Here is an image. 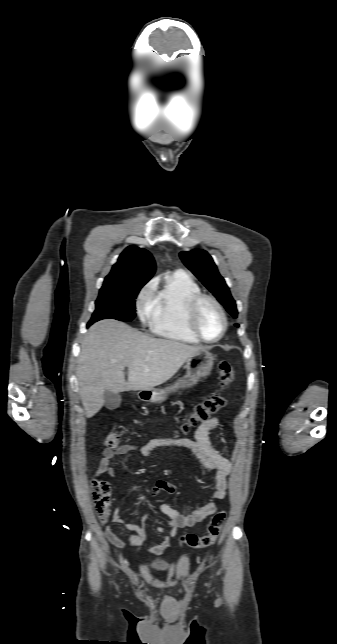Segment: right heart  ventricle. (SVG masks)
<instances>
[{
	"instance_id": "right-heart-ventricle-1",
	"label": "right heart ventricle",
	"mask_w": 337,
	"mask_h": 644,
	"mask_svg": "<svg viewBox=\"0 0 337 644\" xmlns=\"http://www.w3.org/2000/svg\"><path fill=\"white\" fill-rule=\"evenodd\" d=\"M199 293V284L186 272L176 271L166 277L163 286L153 298L151 330L156 335L173 341L199 343L187 325L188 305Z\"/></svg>"
}]
</instances>
